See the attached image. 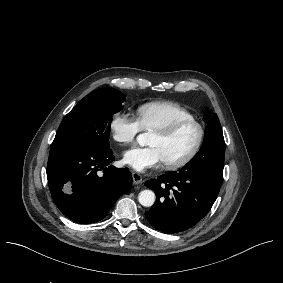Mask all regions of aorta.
<instances>
[{"instance_id":"762f6f07","label":"aorta","mask_w":283,"mask_h":283,"mask_svg":"<svg viewBox=\"0 0 283 283\" xmlns=\"http://www.w3.org/2000/svg\"><path fill=\"white\" fill-rule=\"evenodd\" d=\"M137 142L140 146H145L149 144V136L148 133L139 134L137 137ZM139 203L144 207H151L155 203V193L146 189L139 193L138 195Z\"/></svg>"}]
</instances>
